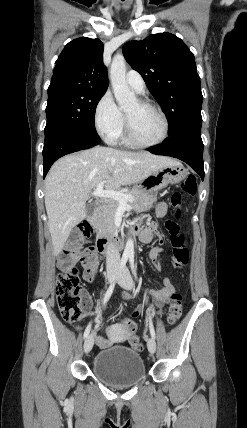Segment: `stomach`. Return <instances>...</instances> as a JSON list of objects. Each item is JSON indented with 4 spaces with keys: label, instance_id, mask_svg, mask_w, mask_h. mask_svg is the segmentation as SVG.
I'll use <instances>...</instances> for the list:
<instances>
[{
    "label": "stomach",
    "instance_id": "stomach-1",
    "mask_svg": "<svg viewBox=\"0 0 247 428\" xmlns=\"http://www.w3.org/2000/svg\"><path fill=\"white\" fill-rule=\"evenodd\" d=\"M188 175L182 164L164 166L140 182L139 187L153 194L157 191L182 182Z\"/></svg>",
    "mask_w": 247,
    "mask_h": 428
}]
</instances>
